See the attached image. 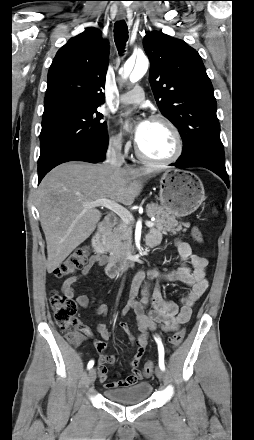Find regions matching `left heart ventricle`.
I'll return each instance as SVG.
<instances>
[{
    "label": "left heart ventricle",
    "mask_w": 254,
    "mask_h": 440,
    "mask_svg": "<svg viewBox=\"0 0 254 440\" xmlns=\"http://www.w3.org/2000/svg\"><path fill=\"white\" fill-rule=\"evenodd\" d=\"M138 146L149 157L165 159L174 154L176 139L168 126L151 121L144 138L138 143Z\"/></svg>",
    "instance_id": "1"
}]
</instances>
